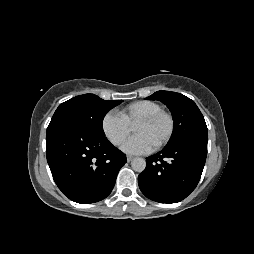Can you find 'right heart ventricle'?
Returning a JSON list of instances; mask_svg holds the SVG:
<instances>
[{"mask_svg":"<svg viewBox=\"0 0 254 254\" xmlns=\"http://www.w3.org/2000/svg\"><path fill=\"white\" fill-rule=\"evenodd\" d=\"M162 110V106L151 100L132 102L119 110V115L130 125H135L140 119Z\"/></svg>","mask_w":254,"mask_h":254,"instance_id":"1","label":"right heart ventricle"}]
</instances>
